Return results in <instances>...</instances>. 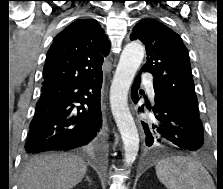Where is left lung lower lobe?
I'll return each mask as SVG.
<instances>
[{
  "instance_id": "1",
  "label": "left lung lower lobe",
  "mask_w": 223,
  "mask_h": 189,
  "mask_svg": "<svg viewBox=\"0 0 223 189\" xmlns=\"http://www.w3.org/2000/svg\"><path fill=\"white\" fill-rule=\"evenodd\" d=\"M140 75L131 89L134 103L139 101L138 88ZM155 105L146 104L154 115V123L141 122L145 133V145L156 148L164 144H174L180 149L198 151L203 147V124L199 117L181 111L159 95V90L154 85ZM143 110V106L140 107Z\"/></svg>"
}]
</instances>
